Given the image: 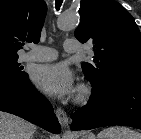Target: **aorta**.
I'll return each instance as SVG.
<instances>
[{"label":"aorta","instance_id":"762f6f07","mask_svg":"<svg viewBox=\"0 0 141 139\" xmlns=\"http://www.w3.org/2000/svg\"><path fill=\"white\" fill-rule=\"evenodd\" d=\"M79 23V16L76 13H64L58 20L57 26L60 30L68 31L75 28Z\"/></svg>","mask_w":141,"mask_h":139}]
</instances>
